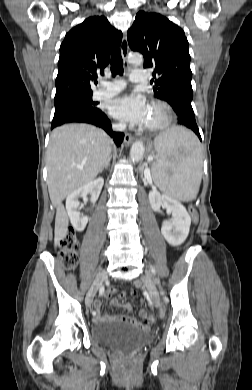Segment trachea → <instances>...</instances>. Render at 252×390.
<instances>
[{
  "instance_id": "trachea-1",
  "label": "trachea",
  "mask_w": 252,
  "mask_h": 390,
  "mask_svg": "<svg viewBox=\"0 0 252 390\" xmlns=\"http://www.w3.org/2000/svg\"><path fill=\"white\" fill-rule=\"evenodd\" d=\"M122 66H123V60H122L121 52H120V50H118L112 56V62H111L112 75L113 76H115L117 74L122 75L123 74Z\"/></svg>"
}]
</instances>
